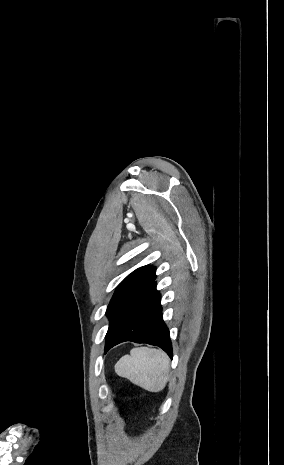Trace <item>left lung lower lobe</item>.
<instances>
[{
  "label": "left lung lower lobe",
  "mask_w": 284,
  "mask_h": 465,
  "mask_svg": "<svg viewBox=\"0 0 284 465\" xmlns=\"http://www.w3.org/2000/svg\"><path fill=\"white\" fill-rule=\"evenodd\" d=\"M160 298L153 282L131 300L107 332L105 353L121 342L133 341L158 346L172 358V344L162 318Z\"/></svg>",
  "instance_id": "left-lung-lower-lobe-1"
}]
</instances>
